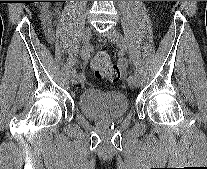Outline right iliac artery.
<instances>
[{"mask_svg":"<svg viewBox=\"0 0 207 169\" xmlns=\"http://www.w3.org/2000/svg\"><path fill=\"white\" fill-rule=\"evenodd\" d=\"M81 57H82V59L85 60V61H87V60L89 59L90 55H89V52H88L87 49L83 48V49L81 50ZM84 78H85V77H84L83 74H78V80H79L80 82L83 81Z\"/></svg>","mask_w":207,"mask_h":169,"instance_id":"82829eb1","label":"right iliac artery"}]
</instances>
